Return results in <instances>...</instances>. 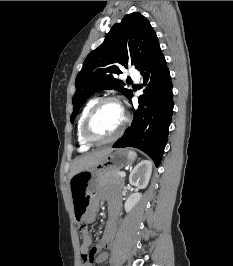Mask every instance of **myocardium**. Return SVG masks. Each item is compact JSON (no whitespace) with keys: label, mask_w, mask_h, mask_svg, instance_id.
Here are the masks:
<instances>
[{"label":"myocardium","mask_w":233,"mask_h":266,"mask_svg":"<svg viewBox=\"0 0 233 266\" xmlns=\"http://www.w3.org/2000/svg\"><path fill=\"white\" fill-rule=\"evenodd\" d=\"M109 102L116 103L123 109L124 119H123V122H122L121 126L119 127V129L112 136H110L108 138H104V139H99V138H96L92 135L91 130H90L91 123H92V120H93L95 114L98 112V110L104 104L109 103ZM126 124H127V116H126V113H125V110H124V107H123L121 101L117 97L107 96V97H103V98L99 99L90 108L89 112L87 113V115L84 119L81 133H82L83 139L88 144H90V145H102V144L111 143V142L117 140L122 135V133L124 132Z\"/></svg>","instance_id":"obj_1"}]
</instances>
